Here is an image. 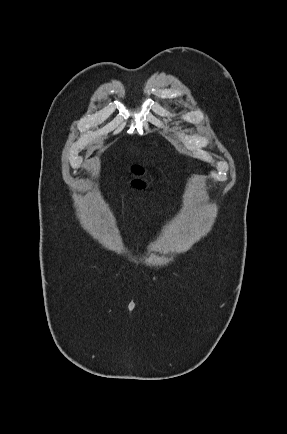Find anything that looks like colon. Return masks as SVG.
I'll use <instances>...</instances> for the list:
<instances>
[{"mask_svg":"<svg viewBox=\"0 0 287 434\" xmlns=\"http://www.w3.org/2000/svg\"><path fill=\"white\" fill-rule=\"evenodd\" d=\"M132 170H133L134 174H136L137 176H141L144 173L143 168L140 166H134L132 168ZM145 185H146V182L142 179H136L133 181V186L138 188V189L144 188Z\"/></svg>","mask_w":287,"mask_h":434,"instance_id":"1","label":"colon"}]
</instances>
